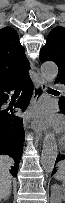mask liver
<instances>
[{
	"mask_svg": "<svg viewBox=\"0 0 65 203\" xmlns=\"http://www.w3.org/2000/svg\"><path fill=\"white\" fill-rule=\"evenodd\" d=\"M14 161L11 157L6 155L0 156V199L3 200L11 193L12 180L9 172Z\"/></svg>",
	"mask_w": 65,
	"mask_h": 203,
	"instance_id": "obj_1",
	"label": "liver"
}]
</instances>
